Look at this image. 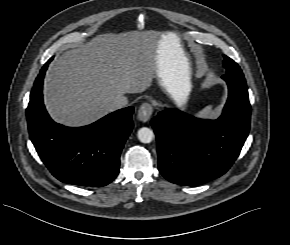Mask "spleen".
<instances>
[{"mask_svg":"<svg viewBox=\"0 0 290 245\" xmlns=\"http://www.w3.org/2000/svg\"><path fill=\"white\" fill-rule=\"evenodd\" d=\"M197 115L199 117H202V118H213V117H215V113L213 111V106L212 105L206 106Z\"/></svg>","mask_w":290,"mask_h":245,"instance_id":"obj_1","label":"spleen"}]
</instances>
